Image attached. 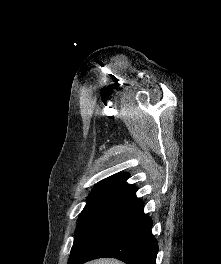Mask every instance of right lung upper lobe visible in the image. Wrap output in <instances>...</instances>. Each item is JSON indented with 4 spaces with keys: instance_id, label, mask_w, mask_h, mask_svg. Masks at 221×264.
<instances>
[{
    "instance_id": "right-lung-upper-lobe-1",
    "label": "right lung upper lobe",
    "mask_w": 221,
    "mask_h": 264,
    "mask_svg": "<svg viewBox=\"0 0 221 264\" xmlns=\"http://www.w3.org/2000/svg\"><path fill=\"white\" fill-rule=\"evenodd\" d=\"M128 178L127 173L115 174L111 177L104 179L103 181L99 182L93 190H100V189H123L127 190L133 185L127 184L126 180Z\"/></svg>"
}]
</instances>
